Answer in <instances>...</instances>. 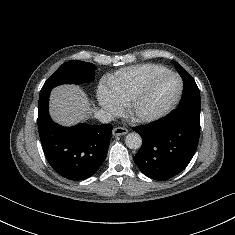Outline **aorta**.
<instances>
[{
    "instance_id": "762f6f07",
    "label": "aorta",
    "mask_w": 235,
    "mask_h": 235,
    "mask_svg": "<svg viewBox=\"0 0 235 235\" xmlns=\"http://www.w3.org/2000/svg\"><path fill=\"white\" fill-rule=\"evenodd\" d=\"M125 143L130 149H139L142 145V138L138 133L132 132L126 136Z\"/></svg>"
}]
</instances>
